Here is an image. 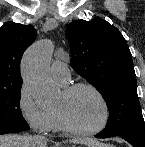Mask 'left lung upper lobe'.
Instances as JSON below:
<instances>
[{"mask_svg":"<svg viewBox=\"0 0 145 147\" xmlns=\"http://www.w3.org/2000/svg\"><path fill=\"white\" fill-rule=\"evenodd\" d=\"M71 66L104 97L109 119L104 134L145 137V122L129 47L120 31L101 18L66 27Z\"/></svg>","mask_w":145,"mask_h":147,"instance_id":"left-lung-upper-lobe-1","label":"left lung upper lobe"}]
</instances>
